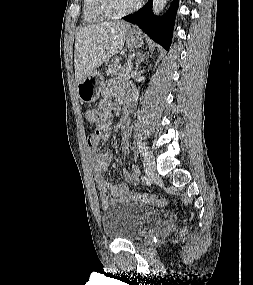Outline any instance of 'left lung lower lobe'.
I'll list each match as a JSON object with an SVG mask.
<instances>
[{"mask_svg": "<svg viewBox=\"0 0 253 285\" xmlns=\"http://www.w3.org/2000/svg\"><path fill=\"white\" fill-rule=\"evenodd\" d=\"M177 7L178 0H174L165 15L156 17L152 13V0H149L135 14L127 15L123 19L137 24L155 42L162 45L165 49H169Z\"/></svg>", "mask_w": 253, "mask_h": 285, "instance_id": "obj_1", "label": "left lung lower lobe"}]
</instances>
